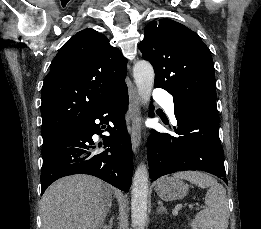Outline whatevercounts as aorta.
<instances>
[{"mask_svg":"<svg viewBox=\"0 0 261 229\" xmlns=\"http://www.w3.org/2000/svg\"><path fill=\"white\" fill-rule=\"evenodd\" d=\"M135 82L143 102L150 100L154 84V68L148 60H137L133 66ZM148 171L146 165H138L131 191V219L134 229H145L147 223Z\"/></svg>","mask_w":261,"mask_h":229,"instance_id":"762f6f07","label":"aorta"}]
</instances>
